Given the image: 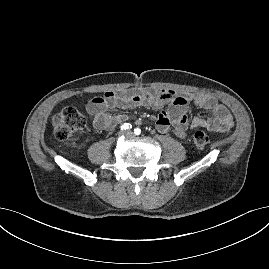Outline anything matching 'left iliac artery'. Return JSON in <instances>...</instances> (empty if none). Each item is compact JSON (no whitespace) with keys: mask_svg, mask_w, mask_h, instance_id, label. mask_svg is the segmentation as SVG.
Listing matches in <instances>:
<instances>
[{"mask_svg":"<svg viewBox=\"0 0 269 269\" xmlns=\"http://www.w3.org/2000/svg\"><path fill=\"white\" fill-rule=\"evenodd\" d=\"M134 133H135V135H140V133H141V129L140 128H135L134 129Z\"/></svg>","mask_w":269,"mask_h":269,"instance_id":"1","label":"left iliac artery"}]
</instances>
